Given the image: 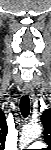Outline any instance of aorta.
<instances>
[{
  "instance_id": "762f6f07",
  "label": "aorta",
  "mask_w": 51,
  "mask_h": 150,
  "mask_svg": "<svg viewBox=\"0 0 51 150\" xmlns=\"http://www.w3.org/2000/svg\"><path fill=\"white\" fill-rule=\"evenodd\" d=\"M42 133V128L39 125H28L23 128L20 139L19 146L21 148L30 144L33 140L38 138Z\"/></svg>"
}]
</instances>
